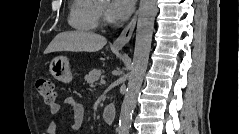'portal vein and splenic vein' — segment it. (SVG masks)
<instances>
[{
	"instance_id": "18ae733b",
	"label": "portal vein and splenic vein",
	"mask_w": 239,
	"mask_h": 134,
	"mask_svg": "<svg viewBox=\"0 0 239 134\" xmlns=\"http://www.w3.org/2000/svg\"><path fill=\"white\" fill-rule=\"evenodd\" d=\"M101 83L104 84V83H105V80L102 79V80H101Z\"/></svg>"
}]
</instances>
